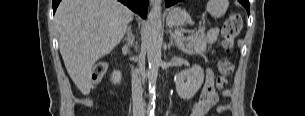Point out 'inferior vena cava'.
Wrapping results in <instances>:
<instances>
[{"label": "inferior vena cava", "mask_w": 305, "mask_h": 116, "mask_svg": "<svg viewBox=\"0 0 305 116\" xmlns=\"http://www.w3.org/2000/svg\"><path fill=\"white\" fill-rule=\"evenodd\" d=\"M143 90L136 71L132 70V104L134 116H144Z\"/></svg>", "instance_id": "1"}]
</instances>
